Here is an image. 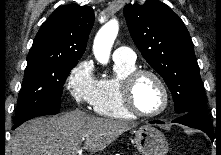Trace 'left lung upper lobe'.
<instances>
[{
    "label": "left lung upper lobe",
    "instance_id": "left-lung-upper-lobe-1",
    "mask_svg": "<svg viewBox=\"0 0 221 155\" xmlns=\"http://www.w3.org/2000/svg\"><path fill=\"white\" fill-rule=\"evenodd\" d=\"M124 15L142 56L172 92L175 112L207 111L193 43L183 21L157 0L128 4Z\"/></svg>",
    "mask_w": 221,
    "mask_h": 155
}]
</instances>
